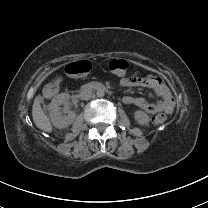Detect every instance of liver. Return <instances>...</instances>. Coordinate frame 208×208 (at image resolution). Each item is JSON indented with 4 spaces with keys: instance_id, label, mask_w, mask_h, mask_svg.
Wrapping results in <instances>:
<instances>
[{
    "instance_id": "6515ba94",
    "label": "liver",
    "mask_w": 208,
    "mask_h": 208,
    "mask_svg": "<svg viewBox=\"0 0 208 208\" xmlns=\"http://www.w3.org/2000/svg\"><path fill=\"white\" fill-rule=\"evenodd\" d=\"M41 102H43L42 96L38 95L35 97L32 107L33 121L39 129L45 132H51L52 125L49 118L44 114V111L41 108Z\"/></svg>"
}]
</instances>
